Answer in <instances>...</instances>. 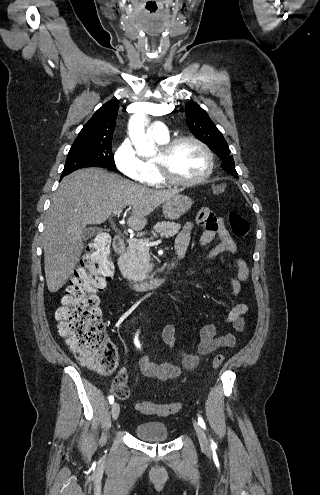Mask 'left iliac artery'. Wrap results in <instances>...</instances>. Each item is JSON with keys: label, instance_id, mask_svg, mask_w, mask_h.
<instances>
[{"label": "left iliac artery", "instance_id": "left-iliac-artery-1", "mask_svg": "<svg viewBox=\"0 0 320 495\" xmlns=\"http://www.w3.org/2000/svg\"><path fill=\"white\" fill-rule=\"evenodd\" d=\"M134 343H135L136 347L140 348V343L138 341V337L137 336H135ZM198 423H199V425L203 429H206L205 422H204V420H203V418L201 416H198ZM211 447L212 448H215L216 447V443L213 440H211Z\"/></svg>", "mask_w": 320, "mask_h": 495}]
</instances>
